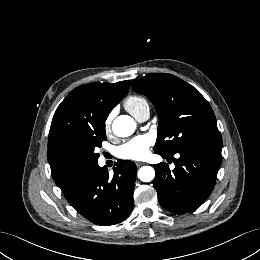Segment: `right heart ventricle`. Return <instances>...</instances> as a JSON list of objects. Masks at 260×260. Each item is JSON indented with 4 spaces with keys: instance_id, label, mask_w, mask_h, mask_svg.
<instances>
[{
    "instance_id": "1",
    "label": "right heart ventricle",
    "mask_w": 260,
    "mask_h": 260,
    "mask_svg": "<svg viewBox=\"0 0 260 260\" xmlns=\"http://www.w3.org/2000/svg\"><path fill=\"white\" fill-rule=\"evenodd\" d=\"M124 106L126 110L135 117L143 107L149 105L147 100L144 97L138 95H132L126 99Z\"/></svg>"
}]
</instances>
